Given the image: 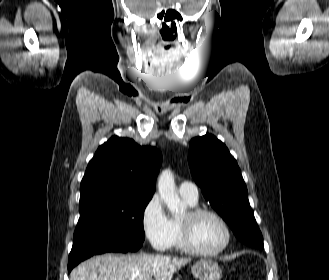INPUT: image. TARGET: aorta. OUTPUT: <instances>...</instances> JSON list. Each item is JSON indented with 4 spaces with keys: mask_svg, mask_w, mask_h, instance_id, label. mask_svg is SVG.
Instances as JSON below:
<instances>
[{
    "mask_svg": "<svg viewBox=\"0 0 329 280\" xmlns=\"http://www.w3.org/2000/svg\"><path fill=\"white\" fill-rule=\"evenodd\" d=\"M158 192L172 214L182 215L185 212V205L176 191L174 175L169 169L164 170L158 178Z\"/></svg>",
    "mask_w": 329,
    "mask_h": 280,
    "instance_id": "aorta-1",
    "label": "aorta"
}]
</instances>
